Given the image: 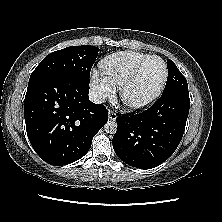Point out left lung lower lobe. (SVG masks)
Returning <instances> with one entry per match:
<instances>
[{"label":"left lung lower lobe","instance_id":"left-lung-lower-lobe-1","mask_svg":"<svg viewBox=\"0 0 222 222\" xmlns=\"http://www.w3.org/2000/svg\"><path fill=\"white\" fill-rule=\"evenodd\" d=\"M189 93H163L149 109L135 115H119L112 139L117 156L125 163L154 168L166 161L178 147L189 113Z\"/></svg>","mask_w":222,"mask_h":222}]
</instances>
